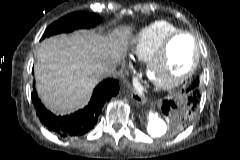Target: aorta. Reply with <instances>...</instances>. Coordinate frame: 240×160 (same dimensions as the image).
<instances>
[{"label": "aorta", "mask_w": 240, "mask_h": 160, "mask_svg": "<svg viewBox=\"0 0 240 160\" xmlns=\"http://www.w3.org/2000/svg\"><path fill=\"white\" fill-rule=\"evenodd\" d=\"M145 124H146L148 133L152 137L162 136L167 129V125L162 119L160 113L154 109H149L146 111Z\"/></svg>", "instance_id": "1"}]
</instances>
